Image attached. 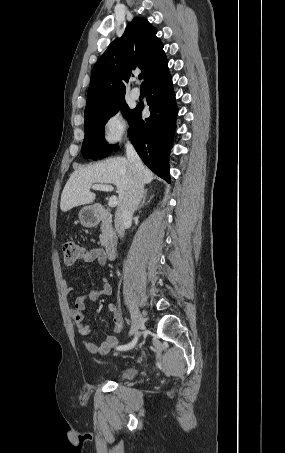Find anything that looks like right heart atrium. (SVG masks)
Returning a JSON list of instances; mask_svg holds the SVG:
<instances>
[{
  "label": "right heart atrium",
  "mask_w": 285,
  "mask_h": 453,
  "mask_svg": "<svg viewBox=\"0 0 285 453\" xmlns=\"http://www.w3.org/2000/svg\"><path fill=\"white\" fill-rule=\"evenodd\" d=\"M128 122L121 110L110 113L103 123V139L109 145L120 143L127 135Z\"/></svg>",
  "instance_id": "1"
}]
</instances>
